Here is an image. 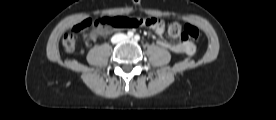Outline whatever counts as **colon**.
<instances>
[{"mask_svg":"<svg viewBox=\"0 0 276 120\" xmlns=\"http://www.w3.org/2000/svg\"><path fill=\"white\" fill-rule=\"evenodd\" d=\"M163 24L162 20L151 18H129L124 16L104 17L98 20L85 19L73 26L69 33H66L62 39V45L67 52H73L76 47L77 35L88 29L91 26H106L110 28H124V27H160ZM169 33L174 37H179L184 42H191L198 40L199 30L193 25H180L179 23H172L169 26Z\"/></svg>","mask_w":276,"mask_h":120,"instance_id":"colon-1","label":"colon"}]
</instances>
